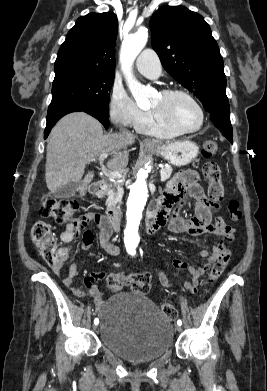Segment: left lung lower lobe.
Listing matches in <instances>:
<instances>
[{"mask_svg":"<svg viewBox=\"0 0 267 391\" xmlns=\"http://www.w3.org/2000/svg\"><path fill=\"white\" fill-rule=\"evenodd\" d=\"M211 115V121L219 128L222 134L232 143L233 134H232V125L230 122V110L229 109H220L216 110Z\"/></svg>","mask_w":267,"mask_h":391,"instance_id":"obj_1","label":"left lung lower lobe"}]
</instances>
